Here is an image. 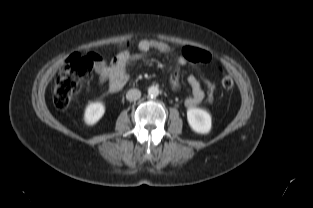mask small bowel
I'll return each mask as SVG.
<instances>
[{"mask_svg":"<svg viewBox=\"0 0 313 208\" xmlns=\"http://www.w3.org/2000/svg\"><path fill=\"white\" fill-rule=\"evenodd\" d=\"M138 49L142 52L139 55H132L128 50L121 51L117 56L107 64L102 58L94 62L93 69L98 76L100 87L106 88L110 92L118 91L128 80V67L134 62L143 60L147 53L154 51L161 54L173 53V48L164 42L145 39L139 42ZM188 64L184 54L175 59L170 77V85L173 90L180 88V69ZM187 81L191 86L192 92L186 98L185 105L192 108L203 101L205 98L204 89L193 74H189Z\"/></svg>","mask_w":313,"mask_h":208,"instance_id":"c3829d8e","label":"small bowel"}]
</instances>
